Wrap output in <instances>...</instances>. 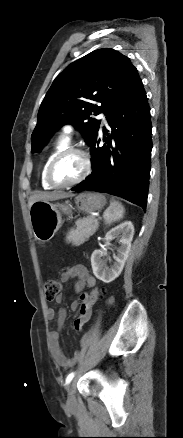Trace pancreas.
<instances>
[{
    "instance_id": "1",
    "label": "pancreas",
    "mask_w": 183,
    "mask_h": 438,
    "mask_svg": "<svg viewBox=\"0 0 183 438\" xmlns=\"http://www.w3.org/2000/svg\"><path fill=\"white\" fill-rule=\"evenodd\" d=\"M76 229H71L66 237L67 243L73 246H80L86 242L98 229V219L92 216L77 220Z\"/></svg>"
}]
</instances>
